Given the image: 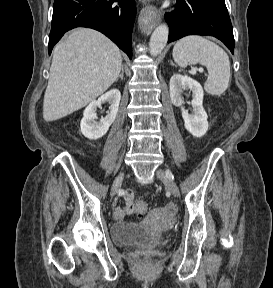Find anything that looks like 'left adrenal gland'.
<instances>
[{
	"instance_id": "obj_1",
	"label": "left adrenal gland",
	"mask_w": 273,
	"mask_h": 288,
	"mask_svg": "<svg viewBox=\"0 0 273 288\" xmlns=\"http://www.w3.org/2000/svg\"><path fill=\"white\" fill-rule=\"evenodd\" d=\"M170 64H171L172 66H174V63H173L172 61L170 62Z\"/></svg>"
}]
</instances>
